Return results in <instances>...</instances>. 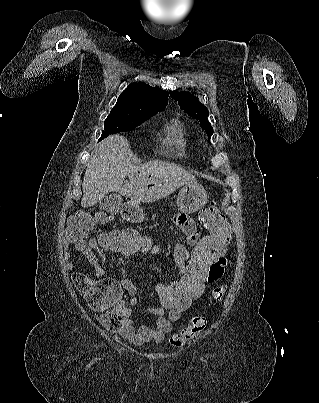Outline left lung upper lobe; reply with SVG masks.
<instances>
[{
  "mask_svg": "<svg viewBox=\"0 0 319 403\" xmlns=\"http://www.w3.org/2000/svg\"><path fill=\"white\" fill-rule=\"evenodd\" d=\"M169 94L173 99L178 101L180 108L185 113L200 120L202 128L206 130L210 139L213 134V128L207 118L209 116L208 109L195 96H192L188 92L169 91Z\"/></svg>",
  "mask_w": 319,
  "mask_h": 403,
  "instance_id": "left-lung-upper-lobe-1",
  "label": "left lung upper lobe"
}]
</instances>
